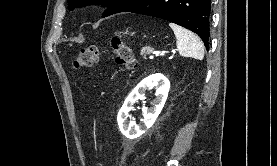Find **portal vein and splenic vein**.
<instances>
[{
    "label": "portal vein and splenic vein",
    "mask_w": 277,
    "mask_h": 166,
    "mask_svg": "<svg viewBox=\"0 0 277 166\" xmlns=\"http://www.w3.org/2000/svg\"><path fill=\"white\" fill-rule=\"evenodd\" d=\"M153 57H154V56H152V55L150 56V58H153Z\"/></svg>",
    "instance_id": "obj_1"
}]
</instances>
